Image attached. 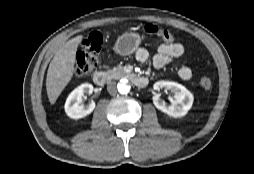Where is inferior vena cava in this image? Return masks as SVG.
Listing matches in <instances>:
<instances>
[{"instance_id": "obj_1", "label": "inferior vena cava", "mask_w": 254, "mask_h": 174, "mask_svg": "<svg viewBox=\"0 0 254 174\" xmlns=\"http://www.w3.org/2000/svg\"><path fill=\"white\" fill-rule=\"evenodd\" d=\"M107 90H108L109 94L116 95V93H117L116 82H114V81L109 82L107 85Z\"/></svg>"}]
</instances>
